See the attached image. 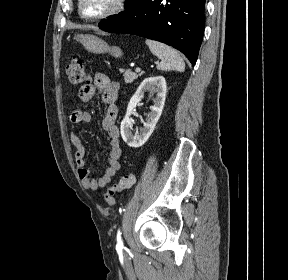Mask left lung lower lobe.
<instances>
[{
    "instance_id": "obj_1",
    "label": "left lung lower lobe",
    "mask_w": 288,
    "mask_h": 280,
    "mask_svg": "<svg viewBox=\"0 0 288 280\" xmlns=\"http://www.w3.org/2000/svg\"><path fill=\"white\" fill-rule=\"evenodd\" d=\"M204 5L205 0H135L98 26L168 44L195 65L204 33Z\"/></svg>"
}]
</instances>
